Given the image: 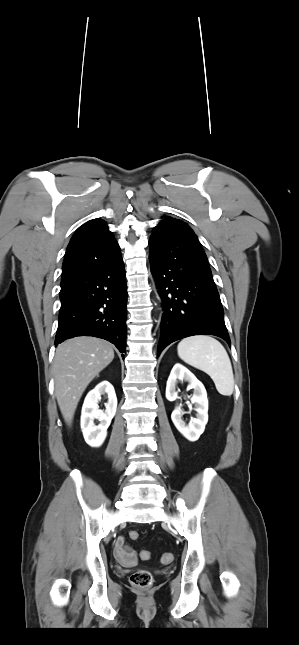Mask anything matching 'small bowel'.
Segmentation results:
<instances>
[{
  "label": "small bowel",
  "instance_id": "c3829d8e",
  "mask_svg": "<svg viewBox=\"0 0 299 645\" xmlns=\"http://www.w3.org/2000/svg\"><path fill=\"white\" fill-rule=\"evenodd\" d=\"M114 556L117 561L126 567H133L137 563V554L127 545L126 538L119 536L115 541Z\"/></svg>",
  "mask_w": 299,
  "mask_h": 645
}]
</instances>
